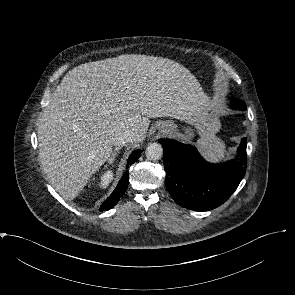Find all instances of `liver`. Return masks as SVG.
<instances>
[{
    "label": "liver",
    "instance_id": "1",
    "mask_svg": "<svg viewBox=\"0 0 295 295\" xmlns=\"http://www.w3.org/2000/svg\"><path fill=\"white\" fill-rule=\"evenodd\" d=\"M209 99L196 77L162 57L124 54L70 70L50 97L37 131L39 155L54 189L73 200L110 158L125 131L142 142L150 119L199 118ZM203 134L217 128L205 125Z\"/></svg>",
    "mask_w": 295,
    "mask_h": 295
}]
</instances>
